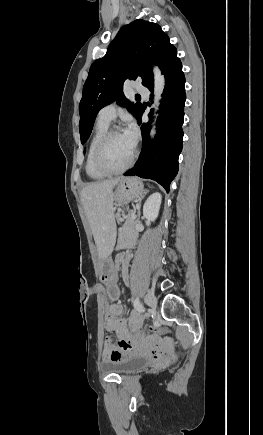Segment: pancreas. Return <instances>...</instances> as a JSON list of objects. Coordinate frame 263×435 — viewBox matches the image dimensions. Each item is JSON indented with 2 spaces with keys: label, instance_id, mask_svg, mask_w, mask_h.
I'll return each instance as SVG.
<instances>
[{
  "label": "pancreas",
  "instance_id": "obj_1",
  "mask_svg": "<svg viewBox=\"0 0 263 435\" xmlns=\"http://www.w3.org/2000/svg\"><path fill=\"white\" fill-rule=\"evenodd\" d=\"M136 223V220L131 219V215L127 217L125 224L119 230L118 248H124L137 239Z\"/></svg>",
  "mask_w": 263,
  "mask_h": 435
}]
</instances>
